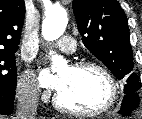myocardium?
Here are the masks:
<instances>
[{
    "mask_svg": "<svg viewBox=\"0 0 142 119\" xmlns=\"http://www.w3.org/2000/svg\"><path fill=\"white\" fill-rule=\"evenodd\" d=\"M70 68L74 70L95 69L99 71L104 76L108 84V90H109L108 98L104 103V105H102L98 109L91 111H81L64 105L60 100L59 94L57 93L53 98V104L57 109L71 115L82 116V117H97L105 114L106 112H108L110 109L113 108L118 98V86L114 76L104 65L94 61H79L72 64Z\"/></svg>",
    "mask_w": 142,
    "mask_h": 119,
    "instance_id": "f54148a6",
    "label": "myocardium"
}]
</instances>
